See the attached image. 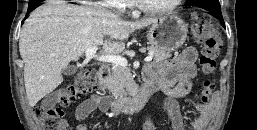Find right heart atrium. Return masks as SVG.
Masks as SVG:
<instances>
[{
  "label": "right heart atrium",
  "mask_w": 257,
  "mask_h": 130,
  "mask_svg": "<svg viewBox=\"0 0 257 130\" xmlns=\"http://www.w3.org/2000/svg\"><path fill=\"white\" fill-rule=\"evenodd\" d=\"M132 0H102L101 5L118 10H124L130 5Z\"/></svg>",
  "instance_id": "d8ad5b80"
}]
</instances>
